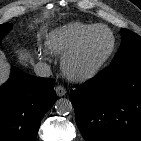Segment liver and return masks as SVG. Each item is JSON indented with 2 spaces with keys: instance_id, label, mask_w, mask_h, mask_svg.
<instances>
[{
  "instance_id": "6515ba94",
  "label": "liver",
  "mask_w": 141,
  "mask_h": 141,
  "mask_svg": "<svg viewBox=\"0 0 141 141\" xmlns=\"http://www.w3.org/2000/svg\"><path fill=\"white\" fill-rule=\"evenodd\" d=\"M19 60L21 63H26L30 59V54L24 50L18 52ZM9 75V65L5 61V55L0 51V85L3 84Z\"/></svg>"
}]
</instances>
